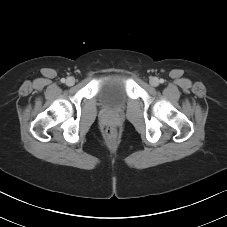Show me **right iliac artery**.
<instances>
[{
	"label": "right iliac artery",
	"instance_id": "1",
	"mask_svg": "<svg viewBox=\"0 0 227 227\" xmlns=\"http://www.w3.org/2000/svg\"><path fill=\"white\" fill-rule=\"evenodd\" d=\"M65 81H66L65 78H62V79H61V82H62V83H65Z\"/></svg>",
	"mask_w": 227,
	"mask_h": 227
}]
</instances>
